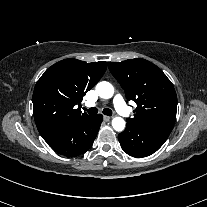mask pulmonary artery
<instances>
[{
	"label": "pulmonary artery",
	"mask_w": 207,
	"mask_h": 207,
	"mask_svg": "<svg viewBox=\"0 0 207 207\" xmlns=\"http://www.w3.org/2000/svg\"><path fill=\"white\" fill-rule=\"evenodd\" d=\"M113 105H114L116 111L121 113V114H123L127 109V106L125 105L122 97L118 94L113 97ZM87 106L91 107V106H94V104L93 103H87Z\"/></svg>",
	"instance_id": "1"
}]
</instances>
